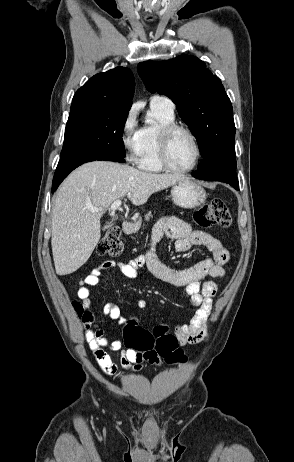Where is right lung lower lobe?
I'll list each match as a JSON object with an SVG mask.
<instances>
[{"mask_svg": "<svg viewBox=\"0 0 294 462\" xmlns=\"http://www.w3.org/2000/svg\"><path fill=\"white\" fill-rule=\"evenodd\" d=\"M95 160H104V161H115V162H125L124 157L112 155V156H105V157H98V158H88L84 160H78L75 162H71L64 165H59L56 168L53 183H52V192H54L60 183L67 177V175L73 171L78 166L82 165L83 163L95 161Z\"/></svg>", "mask_w": 294, "mask_h": 462, "instance_id": "98d812e1", "label": "right lung lower lobe"}]
</instances>
